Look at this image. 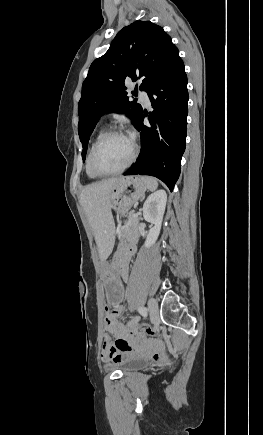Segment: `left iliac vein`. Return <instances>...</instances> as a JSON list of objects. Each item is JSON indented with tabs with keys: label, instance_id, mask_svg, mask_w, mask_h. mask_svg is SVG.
Listing matches in <instances>:
<instances>
[{
	"label": "left iliac vein",
	"instance_id": "left-iliac-vein-1",
	"mask_svg": "<svg viewBox=\"0 0 263 435\" xmlns=\"http://www.w3.org/2000/svg\"><path fill=\"white\" fill-rule=\"evenodd\" d=\"M148 309L150 314V320L152 323L157 322L159 318L158 304L154 298L149 299L148 301Z\"/></svg>",
	"mask_w": 263,
	"mask_h": 435
}]
</instances>
